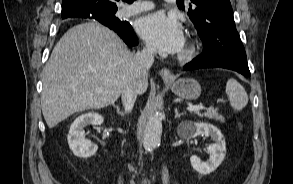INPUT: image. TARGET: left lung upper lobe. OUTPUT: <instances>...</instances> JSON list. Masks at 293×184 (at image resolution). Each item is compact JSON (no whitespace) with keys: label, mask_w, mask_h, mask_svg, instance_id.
I'll return each mask as SVG.
<instances>
[{"label":"left lung upper lobe","mask_w":293,"mask_h":184,"mask_svg":"<svg viewBox=\"0 0 293 184\" xmlns=\"http://www.w3.org/2000/svg\"><path fill=\"white\" fill-rule=\"evenodd\" d=\"M184 9V0H177ZM188 15L198 30L204 50L213 48L221 35L236 31L230 0H191Z\"/></svg>","instance_id":"1"}]
</instances>
